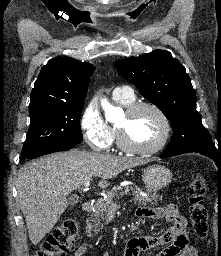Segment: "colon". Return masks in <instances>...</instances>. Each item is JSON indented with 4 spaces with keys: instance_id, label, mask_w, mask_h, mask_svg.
Listing matches in <instances>:
<instances>
[{
    "instance_id": "1",
    "label": "colon",
    "mask_w": 221,
    "mask_h": 256,
    "mask_svg": "<svg viewBox=\"0 0 221 256\" xmlns=\"http://www.w3.org/2000/svg\"><path fill=\"white\" fill-rule=\"evenodd\" d=\"M206 181L194 175L189 182L190 220L194 234L204 239L209 233L208 211L205 206ZM78 240V223L69 218L53 229L34 256H65Z\"/></svg>"
}]
</instances>
